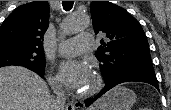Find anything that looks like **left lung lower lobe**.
Here are the masks:
<instances>
[{"label": "left lung lower lobe", "instance_id": "left-lung-lower-lobe-1", "mask_svg": "<svg viewBox=\"0 0 171 110\" xmlns=\"http://www.w3.org/2000/svg\"><path fill=\"white\" fill-rule=\"evenodd\" d=\"M130 81L149 83L159 90L158 80L156 78L155 73H149V72L124 73V74L114 77L108 82H105L106 86L102 89V91L96 97L85 101L86 106L88 107L91 103H93L96 99H98L100 96H102L104 93H106L108 90H110L114 86L123 82H130Z\"/></svg>", "mask_w": 171, "mask_h": 110}]
</instances>
